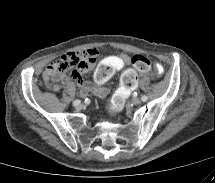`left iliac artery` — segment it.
Instances as JSON below:
<instances>
[{
	"mask_svg": "<svg viewBox=\"0 0 215 183\" xmlns=\"http://www.w3.org/2000/svg\"><path fill=\"white\" fill-rule=\"evenodd\" d=\"M141 100H142L143 102H146V101L148 100V97H147L146 95H143V96L141 97Z\"/></svg>",
	"mask_w": 215,
	"mask_h": 183,
	"instance_id": "44dca946",
	"label": "left iliac artery"
}]
</instances>
